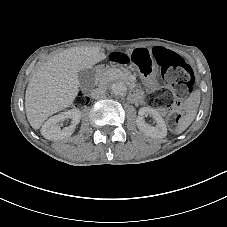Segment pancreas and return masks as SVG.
<instances>
[{
    "instance_id": "obj_1",
    "label": "pancreas",
    "mask_w": 227,
    "mask_h": 227,
    "mask_svg": "<svg viewBox=\"0 0 227 227\" xmlns=\"http://www.w3.org/2000/svg\"><path fill=\"white\" fill-rule=\"evenodd\" d=\"M129 73L130 72L127 70L122 71L117 68H111L102 73L103 78H101V80H105V81H110L115 79L127 80Z\"/></svg>"
}]
</instances>
